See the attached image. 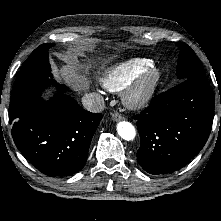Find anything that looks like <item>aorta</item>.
<instances>
[{
  "instance_id": "762f6f07",
  "label": "aorta",
  "mask_w": 221,
  "mask_h": 221,
  "mask_svg": "<svg viewBox=\"0 0 221 221\" xmlns=\"http://www.w3.org/2000/svg\"><path fill=\"white\" fill-rule=\"evenodd\" d=\"M117 132L124 140L130 141L135 138L134 126L128 121H121L117 124Z\"/></svg>"
}]
</instances>
